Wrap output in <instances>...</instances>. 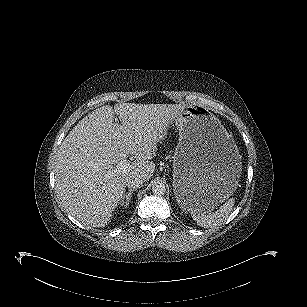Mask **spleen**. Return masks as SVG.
I'll use <instances>...</instances> for the list:
<instances>
[{"label": "spleen", "instance_id": "1", "mask_svg": "<svg viewBox=\"0 0 307 307\" xmlns=\"http://www.w3.org/2000/svg\"><path fill=\"white\" fill-rule=\"evenodd\" d=\"M235 199L230 198L215 212L199 207L191 210L193 220L204 228H214L221 225L231 213Z\"/></svg>", "mask_w": 307, "mask_h": 307}]
</instances>
